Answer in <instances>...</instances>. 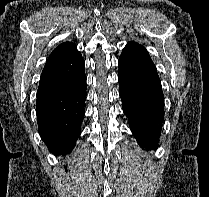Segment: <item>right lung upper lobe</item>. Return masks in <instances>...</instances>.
<instances>
[{
	"label": "right lung upper lobe",
	"instance_id": "right-lung-upper-lobe-1",
	"mask_svg": "<svg viewBox=\"0 0 209 197\" xmlns=\"http://www.w3.org/2000/svg\"><path fill=\"white\" fill-rule=\"evenodd\" d=\"M76 51L77 49L74 43L72 42L61 43L50 54L42 73L48 72L51 69L57 67L62 62L66 61Z\"/></svg>",
	"mask_w": 209,
	"mask_h": 197
}]
</instances>
